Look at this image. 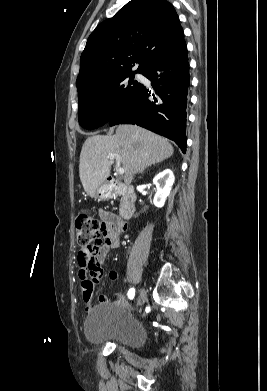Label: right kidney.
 Returning <instances> with one entry per match:
<instances>
[{
  "mask_svg": "<svg viewBox=\"0 0 267 391\" xmlns=\"http://www.w3.org/2000/svg\"><path fill=\"white\" fill-rule=\"evenodd\" d=\"M173 183L174 174L169 169H166L155 176L153 184L156 186L157 192L154 196L153 203L156 207L161 208L164 206L165 200L170 194Z\"/></svg>",
  "mask_w": 267,
  "mask_h": 391,
  "instance_id": "right-kidney-1",
  "label": "right kidney"
}]
</instances>
